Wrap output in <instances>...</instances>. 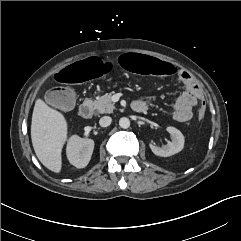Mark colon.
Segmentation results:
<instances>
[{
  "instance_id": "5ec220e1",
  "label": "colon",
  "mask_w": 241,
  "mask_h": 241,
  "mask_svg": "<svg viewBox=\"0 0 241 241\" xmlns=\"http://www.w3.org/2000/svg\"><path fill=\"white\" fill-rule=\"evenodd\" d=\"M120 65L125 70L133 73L150 74L156 77H177L180 69L170 60L158 56H145L143 53L125 52L120 57ZM115 71V64L110 59H104L101 55L91 54L84 59L65 66L61 71H55L51 75V82L55 86L63 84L81 85L88 80H101L110 76ZM48 101L60 109H68L74 102V95L67 88H56L48 94ZM205 105L198 111V118L205 116Z\"/></svg>"
}]
</instances>
